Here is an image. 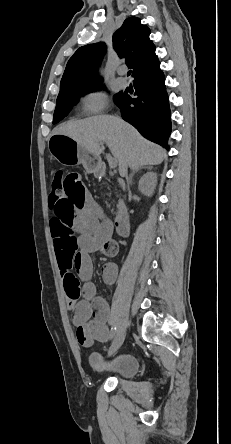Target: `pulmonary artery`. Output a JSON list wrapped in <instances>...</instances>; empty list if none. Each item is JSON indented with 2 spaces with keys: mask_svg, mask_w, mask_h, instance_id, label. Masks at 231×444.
I'll return each instance as SVG.
<instances>
[{
  "mask_svg": "<svg viewBox=\"0 0 231 444\" xmlns=\"http://www.w3.org/2000/svg\"><path fill=\"white\" fill-rule=\"evenodd\" d=\"M123 69H119L118 74L119 76L116 79V84L120 87V88H126L128 85V81L121 76V74L123 73Z\"/></svg>",
  "mask_w": 231,
  "mask_h": 444,
  "instance_id": "e3ab8cb5",
  "label": "pulmonary artery"
}]
</instances>
